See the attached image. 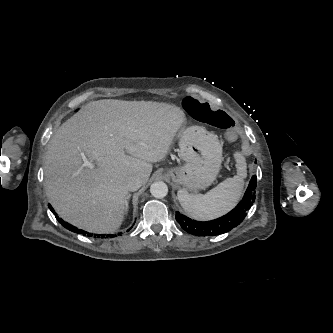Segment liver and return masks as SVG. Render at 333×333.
<instances>
[{
    "instance_id": "liver-1",
    "label": "liver",
    "mask_w": 333,
    "mask_h": 333,
    "mask_svg": "<svg viewBox=\"0 0 333 333\" xmlns=\"http://www.w3.org/2000/svg\"><path fill=\"white\" fill-rule=\"evenodd\" d=\"M185 120L180 108L159 102L103 99L82 107L47 147L46 194L56 212L89 232H114L124 219L126 179L147 183Z\"/></svg>"
}]
</instances>
